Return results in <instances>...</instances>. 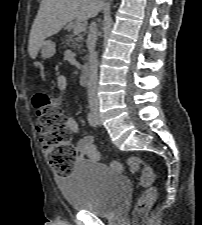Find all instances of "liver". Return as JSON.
Returning a JSON list of instances; mask_svg holds the SVG:
<instances>
[{
    "mask_svg": "<svg viewBox=\"0 0 202 225\" xmlns=\"http://www.w3.org/2000/svg\"><path fill=\"white\" fill-rule=\"evenodd\" d=\"M103 6V0H42L30 31V57L35 59L44 40L57 34L68 22L86 21Z\"/></svg>",
    "mask_w": 202,
    "mask_h": 225,
    "instance_id": "1",
    "label": "liver"
}]
</instances>
